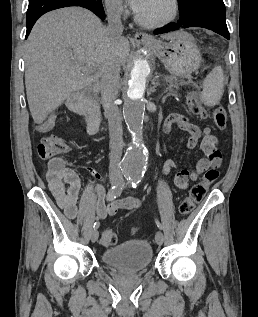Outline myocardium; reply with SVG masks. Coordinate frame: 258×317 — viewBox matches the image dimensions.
<instances>
[{"instance_id": "obj_1", "label": "myocardium", "mask_w": 258, "mask_h": 317, "mask_svg": "<svg viewBox=\"0 0 258 317\" xmlns=\"http://www.w3.org/2000/svg\"><path fill=\"white\" fill-rule=\"evenodd\" d=\"M155 1H157V0H144V1H142V3L138 7L135 8V21L141 27L146 28L148 30H152V31L160 30V29H163L164 27H166L169 23H171L175 19L176 15H177V11H178V4H177L176 0H166L172 6L171 14L167 18H165L164 20H162L160 23H158L156 25H147L146 23H144V21L141 18L140 9L149 5V4L154 3Z\"/></svg>"}]
</instances>
